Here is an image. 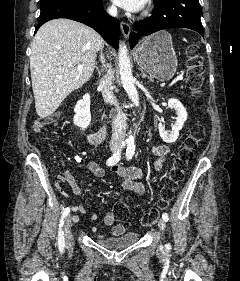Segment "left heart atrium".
I'll return each instance as SVG.
<instances>
[{
    "mask_svg": "<svg viewBox=\"0 0 240 281\" xmlns=\"http://www.w3.org/2000/svg\"><path fill=\"white\" fill-rule=\"evenodd\" d=\"M113 2L121 8L135 12L143 7L144 0H113Z\"/></svg>",
    "mask_w": 240,
    "mask_h": 281,
    "instance_id": "39dd6f15",
    "label": "left heart atrium"
}]
</instances>
